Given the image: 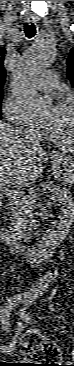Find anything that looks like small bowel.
Wrapping results in <instances>:
<instances>
[{"instance_id": "obj_1", "label": "small bowel", "mask_w": 74, "mask_h": 366, "mask_svg": "<svg viewBox=\"0 0 74 366\" xmlns=\"http://www.w3.org/2000/svg\"><path fill=\"white\" fill-rule=\"evenodd\" d=\"M53 279H54V275L52 273H50L43 279V281H44L43 284L48 285L53 281ZM13 347H14V343H11L9 346H6L3 348V352L9 354L13 351Z\"/></svg>"}]
</instances>
